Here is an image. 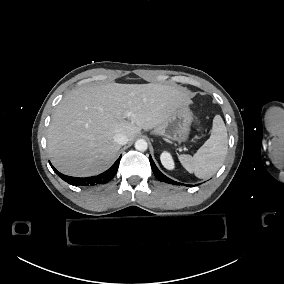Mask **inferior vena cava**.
<instances>
[{
  "label": "inferior vena cava",
  "instance_id": "inferior-vena-cava-1",
  "mask_svg": "<svg viewBox=\"0 0 284 284\" xmlns=\"http://www.w3.org/2000/svg\"><path fill=\"white\" fill-rule=\"evenodd\" d=\"M114 141L117 142L119 145H125L128 142V138L123 133H117L114 136Z\"/></svg>",
  "mask_w": 284,
  "mask_h": 284
}]
</instances>
